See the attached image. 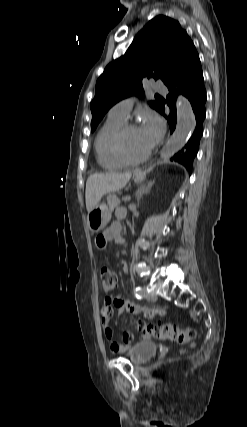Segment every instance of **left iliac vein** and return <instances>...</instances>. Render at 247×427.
Segmentation results:
<instances>
[{"mask_svg": "<svg viewBox=\"0 0 247 427\" xmlns=\"http://www.w3.org/2000/svg\"><path fill=\"white\" fill-rule=\"evenodd\" d=\"M147 301L155 302L157 300V296L154 293H150L146 296Z\"/></svg>", "mask_w": 247, "mask_h": 427, "instance_id": "1", "label": "left iliac vein"}]
</instances>
